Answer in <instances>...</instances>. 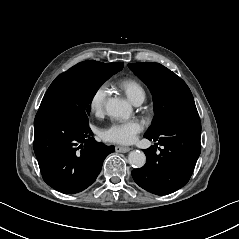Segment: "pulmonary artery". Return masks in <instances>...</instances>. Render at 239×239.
I'll return each instance as SVG.
<instances>
[{
  "mask_svg": "<svg viewBox=\"0 0 239 239\" xmlns=\"http://www.w3.org/2000/svg\"><path fill=\"white\" fill-rule=\"evenodd\" d=\"M143 101H144V97H143V96H139V97H137V98H135V99L133 100V102H134L136 105L142 104Z\"/></svg>",
  "mask_w": 239,
  "mask_h": 239,
  "instance_id": "e3ab8cb5",
  "label": "pulmonary artery"
}]
</instances>
